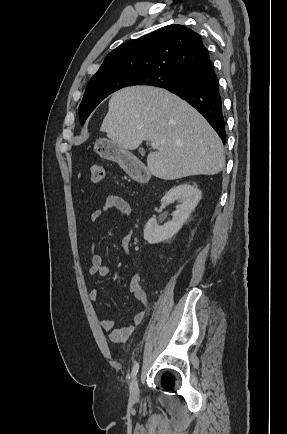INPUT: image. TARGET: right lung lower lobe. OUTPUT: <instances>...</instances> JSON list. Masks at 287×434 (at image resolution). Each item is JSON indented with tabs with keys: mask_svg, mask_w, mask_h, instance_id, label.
I'll return each instance as SVG.
<instances>
[{
	"mask_svg": "<svg viewBox=\"0 0 287 434\" xmlns=\"http://www.w3.org/2000/svg\"><path fill=\"white\" fill-rule=\"evenodd\" d=\"M167 90L196 108L225 143V120L218 79L209 58L184 70Z\"/></svg>",
	"mask_w": 287,
	"mask_h": 434,
	"instance_id": "right-lung-lower-lobe-1",
	"label": "right lung lower lobe"
}]
</instances>
